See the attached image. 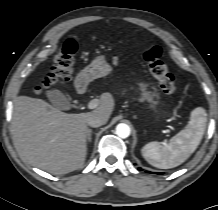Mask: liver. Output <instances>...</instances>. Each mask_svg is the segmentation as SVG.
Returning a JSON list of instances; mask_svg holds the SVG:
<instances>
[{"label":"liver","mask_w":218,"mask_h":210,"mask_svg":"<svg viewBox=\"0 0 218 210\" xmlns=\"http://www.w3.org/2000/svg\"><path fill=\"white\" fill-rule=\"evenodd\" d=\"M114 109L109 93L87 113L67 114L42 99L19 96L14 100L12 129L25 157L36 167L53 174L80 168L87 155L88 119L98 115L106 121Z\"/></svg>","instance_id":"liver-1"}]
</instances>
